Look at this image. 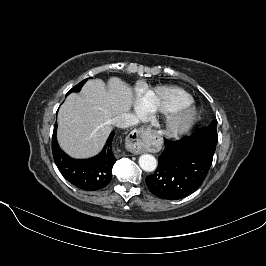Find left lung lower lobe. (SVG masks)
I'll list each match as a JSON object with an SVG mask.
<instances>
[{
  "label": "left lung lower lobe",
  "mask_w": 266,
  "mask_h": 266,
  "mask_svg": "<svg viewBox=\"0 0 266 266\" xmlns=\"http://www.w3.org/2000/svg\"><path fill=\"white\" fill-rule=\"evenodd\" d=\"M213 157L193 141V134L179 141L165 140L156 172L146 177L149 190L167 200L185 198L203 183Z\"/></svg>",
  "instance_id": "obj_1"
}]
</instances>
